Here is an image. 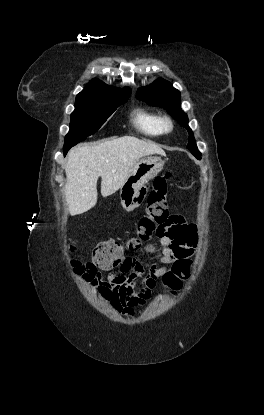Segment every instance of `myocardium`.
<instances>
[{
  "label": "myocardium",
  "instance_id": "myocardium-1",
  "mask_svg": "<svg viewBox=\"0 0 264 415\" xmlns=\"http://www.w3.org/2000/svg\"><path fill=\"white\" fill-rule=\"evenodd\" d=\"M160 126H161L162 132L168 133L173 130V127H174L173 120L169 116L164 115L160 119Z\"/></svg>",
  "mask_w": 264,
  "mask_h": 415
}]
</instances>
